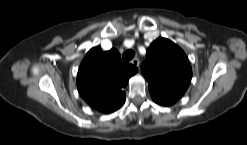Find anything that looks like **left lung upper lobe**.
I'll return each instance as SVG.
<instances>
[{"label": "left lung upper lobe", "instance_id": "5c2ea615", "mask_svg": "<svg viewBox=\"0 0 247 145\" xmlns=\"http://www.w3.org/2000/svg\"><path fill=\"white\" fill-rule=\"evenodd\" d=\"M141 70L149 90L178 99L185 93L192 77L191 65L183 50L163 37L152 42Z\"/></svg>", "mask_w": 247, "mask_h": 145}]
</instances>
